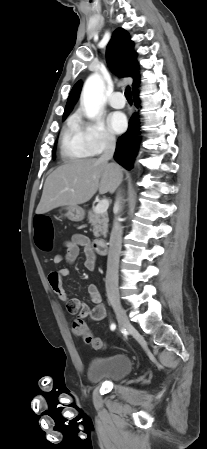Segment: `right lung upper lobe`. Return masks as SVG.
<instances>
[{"mask_svg":"<svg viewBox=\"0 0 207 449\" xmlns=\"http://www.w3.org/2000/svg\"><path fill=\"white\" fill-rule=\"evenodd\" d=\"M106 54L108 65L112 71L119 76L132 77L133 91L137 90L140 82L138 63L133 51V42L124 29L118 28L113 32L112 38L107 46ZM81 86L80 81L73 86L67 100L63 118L68 116L78 100Z\"/></svg>","mask_w":207,"mask_h":449,"instance_id":"cb5924a9","label":"right lung upper lobe"}]
</instances>
